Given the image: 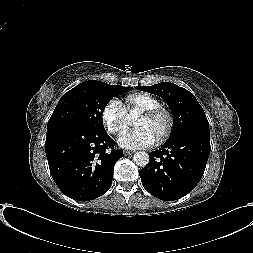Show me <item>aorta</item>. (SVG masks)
I'll use <instances>...</instances> for the list:
<instances>
[{"label": "aorta", "instance_id": "762f6f07", "mask_svg": "<svg viewBox=\"0 0 253 253\" xmlns=\"http://www.w3.org/2000/svg\"><path fill=\"white\" fill-rule=\"evenodd\" d=\"M133 161L137 166L145 167L149 163V155L146 152H136Z\"/></svg>", "mask_w": 253, "mask_h": 253}]
</instances>
